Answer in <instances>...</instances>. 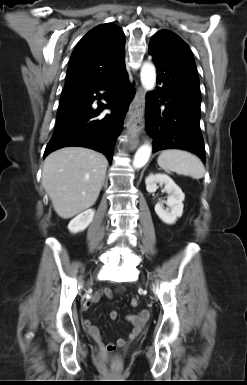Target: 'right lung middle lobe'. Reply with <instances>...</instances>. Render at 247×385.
I'll list each match as a JSON object with an SVG mask.
<instances>
[{"mask_svg": "<svg viewBox=\"0 0 247 385\" xmlns=\"http://www.w3.org/2000/svg\"><path fill=\"white\" fill-rule=\"evenodd\" d=\"M85 91H66L62 92L59 106L68 103L69 101L81 96Z\"/></svg>", "mask_w": 247, "mask_h": 385, "instance_id": "right-lung-middle-lobe-1", "label": "right lung middle lobe"}]
</instances>
